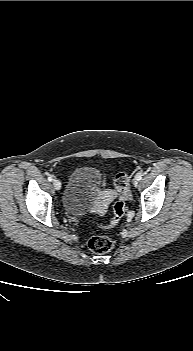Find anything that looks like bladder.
<instances>
[{
    "instance_id": "bladder-1",
    "label": "bladder",
    "mask_w": 193,
    "mask_h": 351,
    "mask_svg": "<svg viewBox=\"0 0 193 351\" xmlns=\"http://www.w3.org/2000/svg\"><path fill=\"white\" fill-rule=\"evenodd\" d=\"M104 185V178L99 169L92 166L76 168L68 179L63 194V209L72 217H81L91 212L96 206L92 195Z\"/></svg>"
}]
</instances>
